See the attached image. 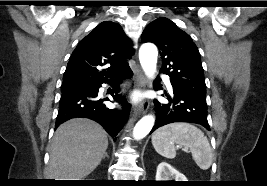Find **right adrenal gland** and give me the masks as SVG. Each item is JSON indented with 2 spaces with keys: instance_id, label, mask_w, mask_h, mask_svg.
<instances>
[{
  "instance_id": "2a0ac1e0",
  "label": "right adrenal gland",
  "mask_w": 267,
  "mask_h": 186,
  "mask_svg": "<svg viewBox=\"0 0 267 186\" xmlns=\"http://www.w3.org/2000/svg\"><path fill=\"white\" fill-rule=\"evenodd\" d=\"M106 157L109 158L107 152H105V154H104V156H103V159H105Z\"/></svg>"
}]
</instances>
